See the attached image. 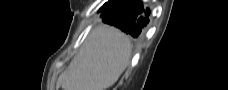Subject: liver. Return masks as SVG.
<instances>
[{
    "instance_id": "6515ba94",
    "label": "liver",
    "mask_w": 228,
    "mask_h": 90,
    "mask_svg": "<svg viewBox=\"0 0 228 90\" xmlns=\"http://www.w3.org/2000/svg\"><path fill=\"white\" fill-rule=\"evenodd\" d=\"M130 58L131 43L125 34L106 25L96 26L59 76L56 88L106 90L115 84Z\"/></svg>"
}]
</instances>
